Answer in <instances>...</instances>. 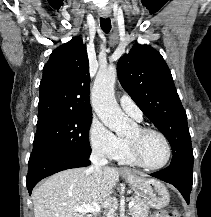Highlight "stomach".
Here are the masks:
<instances>
[{
  "label": "stomach",
  "mask_w": 211,
  "mask_h": 217,
  "mask_svg": "<svg viewBox=\"0 0 211 217\" xmlns=\"http://www.w3.org/2000/svg\"><path fill=\"white\" fill-rule=\"evenodd\" d=\"M122 175L152 208L160 209L169 203L170 196L162 182L155 179H146L131 172H123Z\"/></svg>",
  "instance_id": "obj_1"
}]
</instances>
